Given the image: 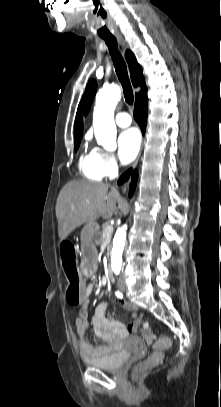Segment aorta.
Listing matches in <instances>:
<instances>
[{"label":"aorta","instance_id":"762f6f07","mask_svg":"<svg viewBox=\"0 0 221 407\" xmlns=\"http://www.w3.org/2000/svg\"><path fill=\"white\" fill-rule=\"evenodd\" d=\"M121 98V90L117 85L101 89L96 96L93 112V127L97 143L107 150L116 146V126L114 110ZM127 225L118 228L113 239L111 267L117 275L122 268V254L125 247Z\"/></svg>","mask_w":221,"mask_h":407}]
</instances>
